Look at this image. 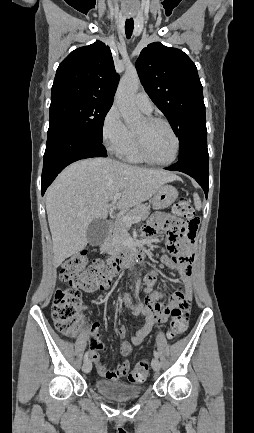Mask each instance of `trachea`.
<instances>
[{"label":"trachea","instance_id":"3493384b","mask_svg":"<svg viewBox=\"0 0 254 433\" xmlns=\"http://www.w3.org/2000/svg\"><path fill=\"white\" fill-rule=\"evenodd\" d=\"M133 29H134L133 19L132 18L127 19L125 22V32L128 39L131 37Z\"/></svg>","mask_w":254,"mask_h":433}]
</instances>
